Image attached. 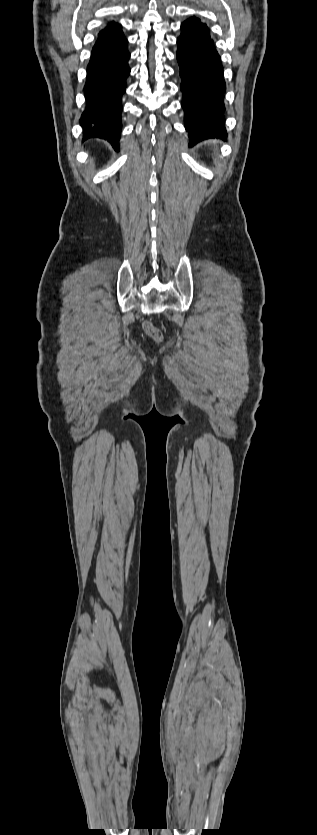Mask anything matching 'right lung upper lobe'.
<instances>
[{
    "instance_id": "cb5924a9",
    "label": "right lung upper lobe",
    "mask_w": 317,
    "mask_h": 835,
    "mask_svg": "<svg viewBox=\"0 0 317 835\" xmlns=\"http://www.w3.org/2000/svg\"><path fill=\"white\" fill-rule=\"evenodd\" d=\"M101 34L112 40H116L124 36L121 25L117 26L114 22L110 23L104 30H102Z\"/></svg>"
}]
</instances>
